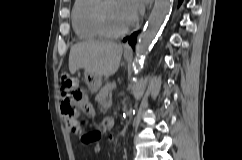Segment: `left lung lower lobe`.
I'll return each mask as SVG.
<instances>
[{
	"label": "left lung lower lobe",
	"mask_w": 242,
	"mask_h": 160,
	"mask_svg": "<svg viewBox=\"0 0 242 160\" xmlns=\"http://www.w3.org/2000/svg\"><path fill=\"white\" fill-rule=\"evenodd\" d=\"M182 0H179V5L181 4ZM137 32L133 33L129 38H124V42L128 40L130 45H134L136 40Z\"/></svg>",
	"instance_id": "obj_1"
}]
</instances>
